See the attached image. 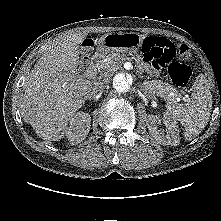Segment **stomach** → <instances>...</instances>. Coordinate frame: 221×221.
Returning <instances> with one entry per match:
<instances>
[{"label": "stomach", "mask_w": 221, "mask_h": 221, "mask_svg": "<svg viewBox=\"0 0 221 221\" xmlns=\"http://www.w3.org/2000/svg\"><path fill=\"white\" fill-rule=\"evenodd\" d=\"M145 40L146 36L135 32L108 33L98 40V48L102 53H137Z\"/></svg>", "instance_id": "stomach-1"}]
</instances>
